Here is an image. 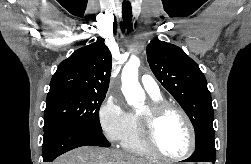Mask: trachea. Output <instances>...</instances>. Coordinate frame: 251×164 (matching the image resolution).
<instances>
[{"mask_svg": "<svg viewBox=\"0 0 251 164\" xmlns=\"http://www.w3.org/2000/svg\"><path fill=\"white\" fill-rule=\"evenodd\" d=\"M122 17L126 26H129L132 21V8L130 2H123Z\"/></svg>", "mask_w": 251, "mask_h": 164, "instance_id": "obj_1", "label": "trachea"}]
</instances>
